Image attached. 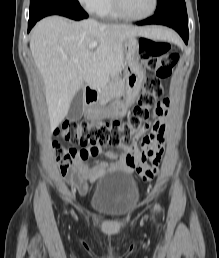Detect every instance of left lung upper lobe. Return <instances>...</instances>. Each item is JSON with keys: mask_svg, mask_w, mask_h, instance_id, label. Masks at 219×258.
I'll list each match as a JSON object with an SVG mask.
<instances>
[{"mask_svg": "<svg viewBox=\"0 0 219 258\" xmlns=\"http://www.w3.org/2000/svg\"><path fill=\"white\" fill-rule=\"evenodd\" d=\"M186 9L184 0H157L155 14H159L169 9Z\"/></svg>", "mask_w": 219, "mask_h": 258, "instance_id": "obj_1", "label": "left lung upper lobe"}]
</instances>
